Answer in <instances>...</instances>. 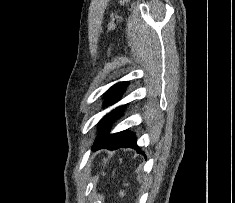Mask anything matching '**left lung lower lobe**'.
Listing matches in <instances>:
<instances>
[{
    "mask_svg": "<svg viewBox=\"0 0 235 203\" xmlns=\"http://www.w3.org/2000/svg\"><path fill=\"white\" fill-rule=\"evenodd\" d=\"M121 112L122 109L118 113V115ZM117 116L115 117V119L117 118ZM128 147L135 148L139 153L144 154V152H142L140 148L137 146L136 137L132 132L122 131L115 134H109V127H107V129L96 139L92 147V150L93 151L99 149L116 150L119 148H128Z\"/></svg>",
    "mask_w": 235,
    "mask_h": 203,
    "instance_id": "1",
    "label": "left lung lower lobe"
}]
</instances>
